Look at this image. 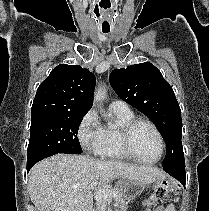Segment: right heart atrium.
<instances>
[{
	"instance_id": "d8ad5b80",
	"label": "right heart atrium",
	"mask_w": 209,
	"mask_h": 211,
	"mask_svg": "<svg viewBox=\"0 0 209 211\" xmlns=\"http://www.w3.org/2000/svg\"><path fill=\"white\" fill-rule=\"evenodd\" d=\"M101 125L93 110H89L81 119L77 137L81 146L87 151H94L101 139Z\"/></svg>"
}]
</instances>
